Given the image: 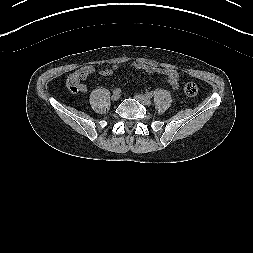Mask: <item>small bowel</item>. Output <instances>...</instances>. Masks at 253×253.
<instances>
[{
    "mask_svg": "<svg viewBox=\"0 0 253 253\" xmlns=\"http://www.w3.org/2000/svg\"><path fill=\"white\" fill-rule=\"evenodd\" d=\"M119 66L117 64H114L111 68L109 69H105L102 70L100 72L101 75H108L110 74L113 70L117 69ZM132 67L136 68V69H143L147 72H157L162 74L170 83V85L174 88L177 89L179 87V78H178V74L176 71L172 70V69H161V68H155L152 67L150 65H146L143 63H139V62H134L132 63ZM84 70H86V72L92 73L94 71V67L92 65H86L83 67ZM80 92L82 93H86L87 92V86L86 84H80Z\"/></svg>",
    "mask_w": 253,
    "mask_h": 253,
    "instance_id": "1",
    "label": "small bowel"
}]
</instances>
